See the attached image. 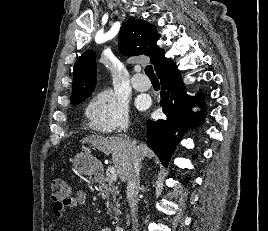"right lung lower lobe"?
Segmentation results:
<instances>
[{"label":"right lung lower lobe","instance_id":"right-lung-lower-lobe-1","mask_svg":"<svg viewBox=\"0 0 268 231\" xmlns=\"http://www.w3.org/2000/svg\"><path fill=\"white\" fill-rule=\"evenodd\" d=\"M157 76L162 85L160 105L167 118L147 122V139L148 146L166 167L184 131L196 127L203 121V116L191 112L194 100L186 94L174 63L158 72ZM196 102L201 103V100Z\"/></svg>","mask_w":268,"mask_h":231}]
</instances>
